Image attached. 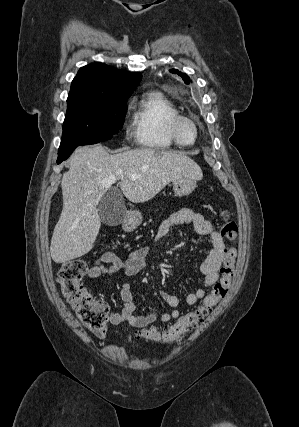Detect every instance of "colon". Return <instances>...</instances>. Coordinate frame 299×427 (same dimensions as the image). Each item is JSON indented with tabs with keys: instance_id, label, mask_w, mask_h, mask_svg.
I'll return each instance as SVG.
<instances>
[{
	"instance_id": "1",
	"label": "colon",
	"mask_w": 299,
	"mask_h": 427,
	"mask_svg": "<svg viewBox=\"0 0 299 427\" xmlns=\"http://www.w3.org/2000/svg\"><path fill=\"white\" fill-rule=\"evenodd\" d=\"M221 216L224 221L221 227V236L228 241L229 245L226 248L223 265L220 269V279L213 285L196 309L182 316L165 329L160 330L155 327L141 329L137 332L139 338L160 343L176 342L202 324L214 306L226 296L235 273L238 227L227 211H222ZM87 271L88 264L85 260L80 258L68 260L62 264L59 270L58 283L62 296L83 326L94 334H100L106 329L109 319V305L102 300L94 299L83 285L82 280Z\"/></svg>"
}]
</instances>
